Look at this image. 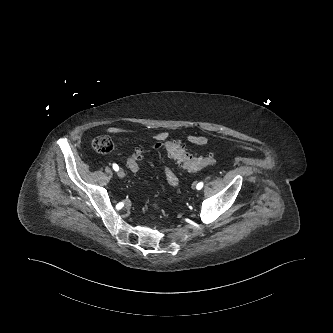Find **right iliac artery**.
Masks as SVG:
<instances>
[{
    "label": "right iliac artery",
    "instance_id": "1",
    "mask_svg": "<svg viewBox=\"0 0 333 333\" xmlns=\"http://www.w3.org/2000/svg\"><path fill=\"white\" fill-rule=\"evenodd\" d=\"M113 169H114L115 171H118V170H119L118 165H117V164H113Z\"/></svg>",
    "mask_w": 333,
    "mask_h": 333
}]
</instances>
